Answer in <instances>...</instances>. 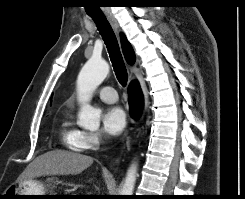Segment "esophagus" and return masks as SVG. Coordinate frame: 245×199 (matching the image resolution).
I'll list each match as a JSON object with an SVG mask.
<instances>
[{
    "instance_id": "esophagus-1",
    "label": "esophagus",
    "mask_w": 245,
    "mask_h": 199,
    "mask_svg": "<svg viewBox=\"0 0 245 199\" xmlns=\"http://www.w3.org/2000/svg\"><path fill=\"white\" fill-rule=\"evenodd\" d=\"M106 17L109 21V23L111 24V26L113 27V29L118 33L119 32V25L117 23V20L115 19V17L111 14V13H107ZM128 132L125 133V136L127 135ZM119 158H117L115 160V162H118Z\"/></svg>"
}]
</instances>
